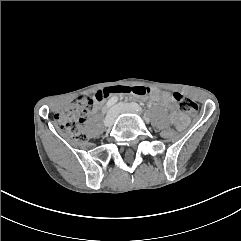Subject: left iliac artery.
<instances>
[{
    "instance_id": "obj_1",
    "label": "left iliac artery",
    "mask_w": 241,
    "mask_h": 241,
    "mask_svg": "<svg viewBox=\"0 0 241 241\" xmlns=\"http://www.w3.org/2000/svg\"><path fill=\"white\" fill-rule=\"evenodd\" d=\"M130 105L132 106L133 109H135L140 114L143 113V109L137 103H131Z\"/></svg>"
}]
</instances>
